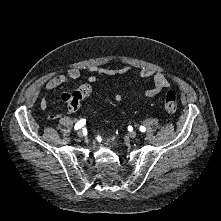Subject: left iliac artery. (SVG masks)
<instances>
[{"instance_id": "1", "label": "left iliac artery", "mask_w": 221, "mask_h": 221, "mask_svg": "<svg viewBox=\"0 0 221 221\" xmlns=\"http://www.w3.org/2000/svg\"><path fill=\"white\" fill-rule=\"evenodd\" d=\"M139 129H140L141 132H145L146 131V128L144 126H140Z\"/></svg>"}]
</instances>
